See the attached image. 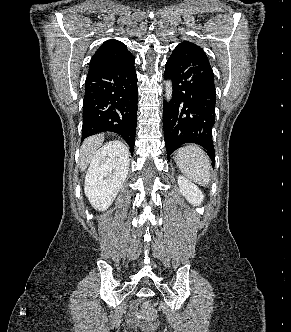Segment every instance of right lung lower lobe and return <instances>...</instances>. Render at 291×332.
I'll list each match as a JSON object with an SVG mask.
<instances>
[{"instance_id": "right-lung-lower-lobe-1", "label": "right lung lower lobe", "mask_w": 291, "mask_h": 332, "mask_svg": "<svg viewBox=\"0 0 291 332\" xmlns=\"http://www.w3.org/2000/svg\"><path fill=\"white\" fill-rule=\"evenodd\" d=\"M134 57L90 68L85 82L82 140L99 132L120 134L134 150L137 122V75Z\"/></svg>"}]
</instances>
